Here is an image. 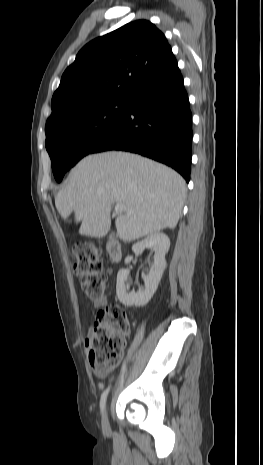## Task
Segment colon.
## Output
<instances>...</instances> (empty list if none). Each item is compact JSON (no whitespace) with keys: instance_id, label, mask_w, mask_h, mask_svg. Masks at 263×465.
Listing matches in <instances>:
<instances>
[{"instance_id":"obj_1","label":"colon","mask_w":263,"mask_h":465,"mask_svg":"<svg viewBox=\"0 0 263 465\" xmlns=\"http://www.w3.org/2000/svg\"><path fill=\"white\" fill-rule=\"evenodd\" d=\"M74 255V272L80 278L83 291L92 300L102 298L106 276L101 252L93 244L81 243L74 247ZM129 329L127 316L120 306L111 304L97 312L86 340L94 370L106 372L119 364Z\"/></svg>"}]
</instances>
